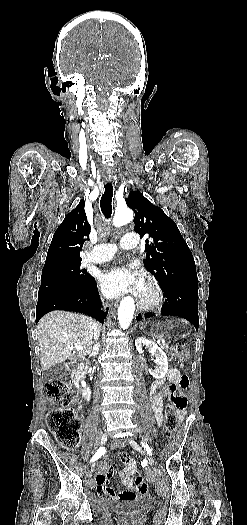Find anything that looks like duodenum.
<instances>
[{"label":"duodenum","mask_w":247,"mask_h":525,"mask_svg":"<svg viewBox=\"0 0 247 525\" xmlns=\"http://www.w3.org/2000/svg\"><path fill=\"white\" fill-rule=\"evenodd\" d=\"M86 365L83 362H78L74 368V378L77 381L78 387L81 389L86 400L90 399L91 391L85 382Z\"/></svg>","instance_id":"1"}]
</instances>
